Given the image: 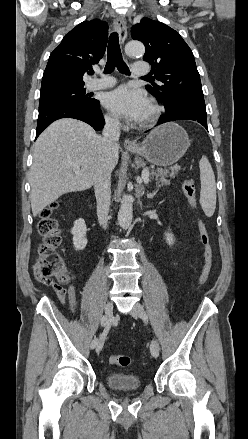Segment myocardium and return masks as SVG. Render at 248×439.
<instances>
[{"label": "myocardium", "instance_id": "myocardium-1", "mask_svg": "<svg viewBox=\"0 0 248 439\" xmlns=\"http://www.w3.org/2000/svg\"><path fill=\"white\" fill-rule=\"evenodd\" d=\"M161 115V108L156 103H150L149 112L147 116L143 119L141 127L149 128L152 127L159 119Z\"/></svg>", "mask_w": 248, "mask_h": 439}]
</instances>
